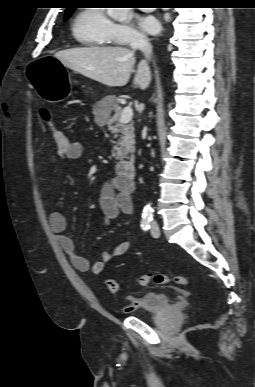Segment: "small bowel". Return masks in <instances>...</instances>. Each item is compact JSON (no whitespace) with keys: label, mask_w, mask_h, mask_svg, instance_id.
Returning a JSON list of instances; mask_svg holds the SVG:
<instances>
[{"label":"small bowel","mask_w":255,"mask_h":387,"mask_svg":"<svg viewBox=\"0 0 255 387\" xmlns=\"http://www.w3.org/2000/svg\"><path fill=\"white\" fill-rule=\"evenodd\" d=\"M83 151L84 147L81 142H70L68 151L64 154H60V157L65 161L75 160L82 156ZM131 191L132 184L127 183L118 177L113 178L103 185L99 204L106 225H109L120 213H132L133 205ZM49 223L71 264L80 272L90 271L94 275L101 274L107 262L124 255L132 245L130 240L120 239L108 250L102 252L99 261L90 264L89 260L77 251L73 240L66 234L67 222L64 215L58 211L52 212L49 216ZM138 304L139 299L132 297L130 298L126 310H132Z\"/></svg>","instance_id":"1"}]
</instances>
